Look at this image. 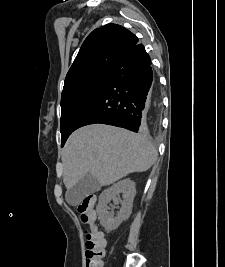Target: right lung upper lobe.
Wrapping results in <instances>:
<instances>
[{
	"label": "right lung upper lobe",
	"mask_w": 225,
	"mask_h": 267,
	"mask_svg": "<svg viewBox=\"0 0 225 267\" xmlns=\"http://www.w3.org/2000/svg\"><path fill=\"white\" fill-rule=\"evenodd\" d=\"M126 28L107 24L92 31L82 44L64 83V88L82 79L109 73L119 56L138 44Z\"/></svg>",
	"instance_id": "right-lung-upper-lobe-1"
}]
</instances>
